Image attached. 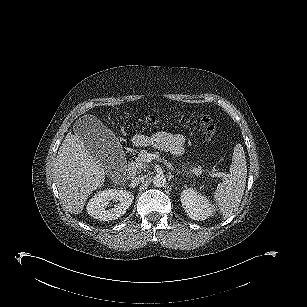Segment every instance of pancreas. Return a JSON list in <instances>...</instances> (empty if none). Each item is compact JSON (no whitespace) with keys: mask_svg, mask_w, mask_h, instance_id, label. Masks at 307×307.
Returning <instances> with one entry per match:
<instances>
[{"mask_svg":"<svg viewBox=\"0 0 307 307\" xmlns=\"http://www.w3.org/2000/svg\"><path fill=\"white\" fill-rule=\"evenodd\" d=\"M145 152H141L138 157L136 158V164L138 169H144L147 167L146 162H145ZM205 172V170L202 169L201 166H191V167H185V173L187 175H196L200 176ZM207 175L214 177V176H222L221 173L216 172L215 170L209 172Z\"/></svg>","mask_w":307,"mask_h":307,"instance_id":"pancreas-1","label":"pancreas"}]
</instances>
